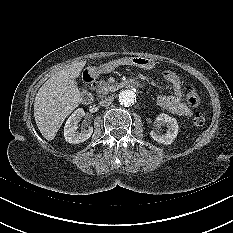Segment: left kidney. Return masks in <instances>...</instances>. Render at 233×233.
<instances>
[{
    "label": "left kidney",
    "instance_id": "5707ae66",
    "mask_svg": "<svg viewBox=\"0 0 233 233\" xmlns=\"http://www.w3.org/2000/svg\"><path fill=\"white\" fill-rule=\"evenodd\" d=\"M156 123L158 125H162L164 123L167 124L168 131L166 134H161L155 131H151L150 133L151 137L158 143L165 144V145L171 144L178 134L179 127H178L177 120L173 117H170L167 114L162 113L156 118Z\"/></svg>",
    "mask_w": 233,
    "mask_h": 233
}]
</instances>
